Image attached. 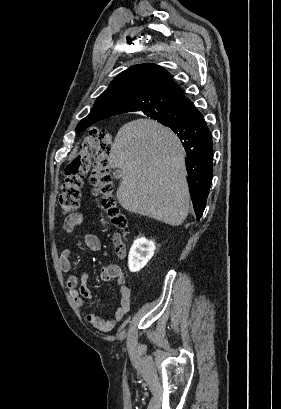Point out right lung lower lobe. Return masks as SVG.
I'll return each mask as SVG.
<instances>
[{
  "label": "right lung lower lobe",
  "mask_w": 281,
  "mask_h": 409,
  "mask_svg": "<svg viewBox=\"0 0 281 409\" xmlns=\"http://www.w3.org/2000/svg\"><path fill=\"white\" fill-rule=\"evenodd\" d=\"M144 113L153 119L166 116L178 119L168 127L177 134L185 148L190 195L199 220L211 186L213 154L212 135L202 114L189 99Z\"/></svg>",
  "instance_id": "right-lung-lower-lobe-1"
}]
</instances>
